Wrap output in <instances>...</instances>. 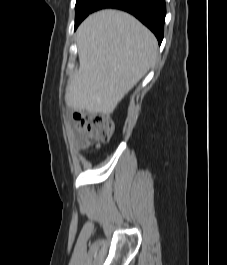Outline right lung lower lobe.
Masks as SVG:
<instances>
[{
    "mask_svg": "<svg viewBox=\"0 0 227 265\" xmlns=\"http://www.w3.org/2000/svg\"><path fill=\"white\" fill-rule=\"evenodd\" d=\"M105 8L120 9L134 15L155 34L161 44L166 15L165 0H100L94 11Z\"/></svg>",
    "mask_w": 227,
    "mask_h": 265,
    "instance_id": "right-lung-lower-lobe-1",
    "label": "right lung lower lobe"
}]
</instances>
